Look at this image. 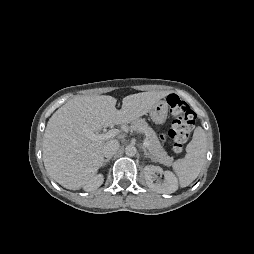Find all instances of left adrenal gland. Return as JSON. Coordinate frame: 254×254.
I'll use <instances>...</instances> for the list:
<instances>
[{
	"label": "left adrenal gland",
	"mask_w": 254,
	"mask_h": 254,
	"mask_svg": "<svg viewBox=\"0 0 254 254\" xmlns=\"http://www.w3.org/2000/svg\"><path fill=\"white\" fill-rule=\"evenodd\" d=\"M143 151H144V156H145V157H148V158H150L152 161H155V160L152 158V156L148 153V151L146 150V148H143Z\"/></svg>",
	"instance_id": "left-adrenal-gland-1"
}]
</instances>
